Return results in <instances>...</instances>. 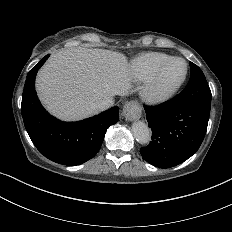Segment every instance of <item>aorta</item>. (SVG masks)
I'll list each match as a JSON object with an SVG mask.
<instances>
[{
  "label": "aorta",
  "mask_w": 232,
  "mask_h": 232,
  "mask_svg": "<svg viewBox=\"0 0 232 232\" xmlns=\"http://www.w3.org/2000/svg\"><path fill=\"white\" fill-rule=\"evenodd\" d=\"M132 133L136 141L140 144H148L151 140L150 129L142 121H136L132 124Z\"/></svg>",
  "instance_id": "obj_1"
}]
</instances>
